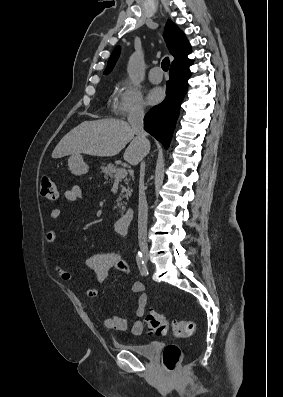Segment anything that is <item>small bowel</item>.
<instances>
[{"instance_id":"1","label":"small bowel","mask_w":283,"mask_h":397,"mask_svg":"<svg viewBox=\"0 0 283 397\" xmlns=\"http://www.w3.org/2000/svg\"><path fill=\"white\" fill-rule=\"evenodd\" d=\"M64 197L73 203H77L83 197V190L80 186L74 185L70 189L65 190ZM62 216V210L60 208H54L50 211V218L53 220L59 219ZM45 242L52 244L57 239V233L55 230H49L45 234ZM48 260L53 265L57 275L63 281L71 282L75 280V276L61 265L58 264L55 255L52 251H48ZM86 267L95 273V285L89 287L86 290V295L89 297H95L98 294L97 285L102 283L110 270H118L123 273H130V267L128 263L123 260L120 255L116 252H106L91 255L86 259ZM144 285L139 281L133 282L131 291L138 294L137 307L135 310L136 319L132 324L131 332L134 335H139L143 331L142 317L145 313L147 305V294L144 292ZM103 325L107 329L113 330H126L129 325V321L125 317L120 316H109L103 319Z\"/></svg>"}]
</instances>
